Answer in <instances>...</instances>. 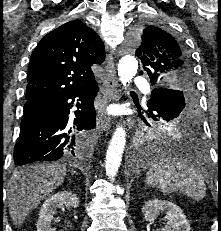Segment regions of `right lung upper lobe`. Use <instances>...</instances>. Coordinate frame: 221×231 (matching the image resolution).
<instances>
[{
    "instance_id": "right-lung-upper-lobe-1",
    "label": "right lung upper lobe",
    "mask_w": 221,
    "mask_h": 231,
    "mask_svg": "<svg viewBox=\"0 0 221 231\" xmlns=\"http://www.w3.org/2000/svg\"><path fill=\"white\" fill-rule=\"evenodd\" d=\"M104 59V45L93 29L80 20L61 25L44 36L31 55L26 100L90 87L96 82L91 65Z\"/></svg>"
}]
</instances>
